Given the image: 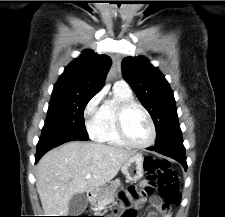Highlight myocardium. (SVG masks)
<instances>
[{"mask_svg":"<svg viewBox=\"0 0 225 217\" xmlns=\"http://www.w3.org/2000/svg\"><path fill=\"white\" fill-rule=\"evenodd\" d=\"M139 108L146 116L149 125H150V130H151V137L150 140L145 143V144H135L133 143L127 136L126 130H125V118L127 113L132 109V108ZM116 127H117V132L119 135V138L121 141L128 147L133 148V149H146L152 146L155 142L156 139V128L155 124L153 122V119L148 112V110L139 102L133 100V99H128L120 102L116 108Z\"/></svg>","mask_w":225,"mask_h":217,"instance_id":"obj_1","label":"myocardium"}]
</instances>
